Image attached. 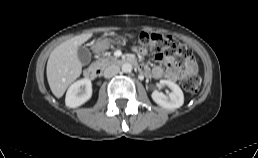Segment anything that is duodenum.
<instances>
[{
    "mask_svg": "<svg viewBox=\"0 0 258 158\" xmlns=\"http://www.w3.org/2000/svg\"><path fill=\"white\" fill-rule=\"evenodd\" d=\"M116 63L118 64H131V65H137V62L132 59H118L116 60ZM102 73V69L99 66H90L84 70V77L88 80H95L97 77H99Z\"/></svg>",
    "mask_w": 258,
    "mask_h": 158,
    "instance_id": "duodenum-1",
    "label": "duodenum"
}]
</instances>
